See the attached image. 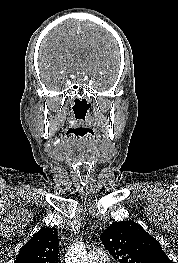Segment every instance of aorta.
Masks as SVG:
<instances>
[{
	"label": "aorta",
	"instance_id": "1",
	"mask_svg": "<svg viewBox=\"0 0 178 263\" xmlns=\"http://www.w3.org/2000/svg\"><path fill=\"white\" fill-rule=\"evenodd\" d=\"M66 263H89L83 242H75L68 249L65 258Z\"/></svg>",
	"mask_w": 178,
	"mask_h": 263
}]
</instances>
